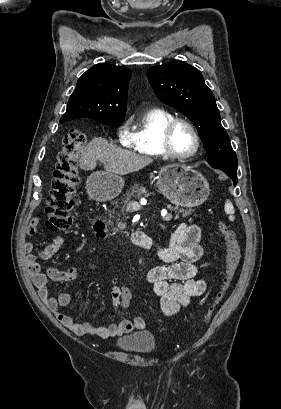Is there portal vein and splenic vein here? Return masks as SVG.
I'll return each mask as SVG.
<instances>
[{"instance_id":"portal-vein-and-splenic-vein-1","label":"portal vein and splenic vein","mask_w":281,"mask_h":409,"mask_svg":"<svg viewBox=\"0 0 281 409\" xmlns=\"http://www.w3.org/2000/svg\"><path fill=\"white\" fill-rule=\"evenodd\" d=\"M139 203H138V201L137 200H132L131 201V203L129 204V209L131 210V212L132 213H137L138 212V207H139V205H138ZM173 216V213L172 212H169V214L168 215H162V220L163 221H171L172 220V217Z\"/></svg>"}]
</instances>
